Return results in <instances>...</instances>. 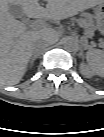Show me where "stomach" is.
<instances>
[{"label": "stomach", "instance_id": "1", "mask_svg": "<svg viewBox=\"0 0 104 137\" xmlns=\"http://www.w3.org/2000/svg\"><path fill=\"white\" fill-rule=\"evenodd\" d=\"M102 7H103V4H100V5H98V6L95 8V15H96L97 17L102 18V15H103ZM85 25L88 26V23H86Z\"/></svg>", "mask_w": 104, "mask_h": 137}]
</instances>
